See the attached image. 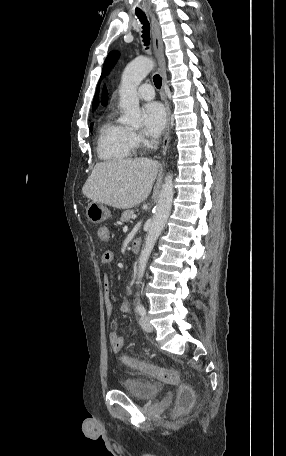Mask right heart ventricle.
I'll return each mask as SVG.
<instances>
[{
  "instance_id": "e07e8e85",
  "label": "right heart ventricle",
  "mask_w": 286,
  "mask_h": 456,
  "mask_svg": "<svg viewBox=\"0 0 286 456\" xmlns=\"http://www.w3.org/2000/svg\"><path fill=\"white\" fill-rule=\"evenodd\" d=\"M136 143L132 131L109 117L101 126L97 139V154L107 162L128 160L134 153Z\"/></svg>"
}]
</instances>
